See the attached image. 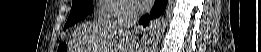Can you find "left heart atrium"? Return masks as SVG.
Listing matches in <instances>:
<instances>
[{"label": "left heart atrium", "instance_id": "obj_1", "mask_svg": "<svg viewBox=\"0 0 261 52\" xmlns=\"http://www.w3.org/2000/svg\"><path fill=\"white\" fill-rule=\"evenodd\" d=\"M136 4L143 9L150 8L152 5L151 0H135Z\"/></svg>", "mask_w": 261, "mask_h": 52}]
</instances>
